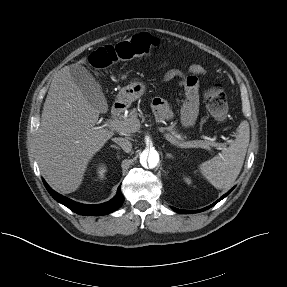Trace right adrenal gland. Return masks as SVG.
<instances>
[{"label":"right adrenal gland","instance_id":"obj_1","mask_svg":"<svg viewBox=\"0 0 287 287\" xmlns=\"http://www.w3.org/2000/svg\"><path fill=\"white\" fill-rule=\"evenodd\" d=\"M110 147H111V148H115V149H117V150H120V148H119L118 146H116V145H111Z\"/></svg>","mask_w":287,"mask_h":287}]
</instances>
